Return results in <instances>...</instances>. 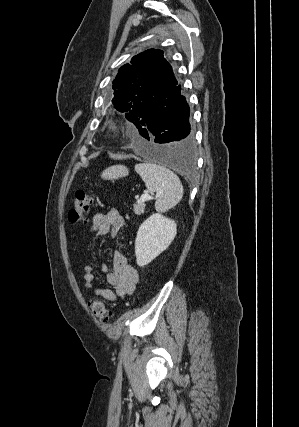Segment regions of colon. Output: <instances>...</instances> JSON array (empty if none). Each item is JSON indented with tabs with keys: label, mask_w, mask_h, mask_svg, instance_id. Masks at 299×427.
<instances>
[{
	"label": "colon",
	"mask_w": 299,
	"mask_h": 427,
	"mask_svg": "<svg viewBox=\"0 0 299 427\" xmlns=\"http://www.w3.org/2000/svg\"><path fill=\"white\" fill-rule=\"evenodd\" d=\"M93 203L92 195L88 191L79 190L75 194L72 208L69 211L68 219L72 224H79L85 220V215ZM90 307L94 317L103 324H107L113 316L105 303L100 299L90 302Z\"/></svg>",
	"instance_id": "colon-1"
}]
</instances>
